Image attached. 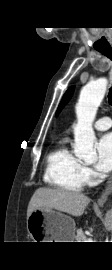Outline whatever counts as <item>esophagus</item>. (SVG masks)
I'll list each match as a JSON object with an SVG mask.
<instances>
[{
	"instance_id": "34e87169",
	"label": "esophagus",
	"mask_w": 112,
	"mask_h": 270,
	"mask_svg": "<svg viewBox=\"0 0 112 270\" xmlns=\"http://www.w3.org/2000/svg\"><path fill=\"white\" fill-rule=\"evenodd\" d=\"M112 193V176L111 178L109 179L106 187H105V190L104 192L102 193V195L100 196V198L98 199L97 201V204L99 206H103L105 204V202L107 201L108 199V196Z\"/></svg>"
}]
</instances>
